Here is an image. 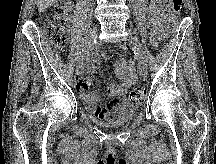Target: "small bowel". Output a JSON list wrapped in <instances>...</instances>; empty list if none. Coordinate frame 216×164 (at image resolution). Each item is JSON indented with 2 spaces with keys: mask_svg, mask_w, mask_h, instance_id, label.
<instances>
[{
  "mask_svg": "<svg viewBox=\"0 0 216 164\" xmlns=\"http://www.w3.org/2000/svg\"><path fill=\"white\" fill-rule=\"evenodd\" d=\"M171 0H149L148 21L152 31V38L157 43L163 36L164 23ZM98 65V55L92 54L88 59L85 72H93ZM115 73L119 83H113L109 87L110 101L106 107H102L99 94L89 91L91 84L89 77H76V90L85 105L86 110L96 119L109 120L116 118L122 110L130 109L131 105L124 103L121 98L127 90L136 83V70L132 61L119 58L115 65Z\"/></svg>",
  "mask_w": 216,
  "mask_h": 164,
  "instance_id": "c3829d8e",
  "label": "small bowel"
}]
</instances>
